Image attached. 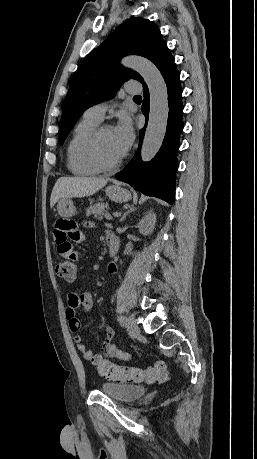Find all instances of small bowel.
<instances>
[{
  "label": "small bowel",
  "mask_w": 257,
  "mask_h": 459,
  "mask_svg": "<svg viewBox=\"0 0 257 459\" xmlns=\"http://www.w3.org/2000/svg\"><path fill=\"white\" fill-rule=\"evenodd\" d=\"M78 220L82 226L89 224V219L78 215ZM71 217H57L56 223L53 225L52 238L56 244L59 257L64 261H72L73 264H82L84 253L78 249V244H86L87 237L83 235V228L76 227L72 223ZM109 272L116 274L117 268L114 264L109 265ZM93 307V296L89 291H84L80 294L70 293L68 295L67 307L65 309V318L68 322L69 329L76 333L75 341L77 349L82 356L92 362L94 357L92 351L84 344V337L80 333L81 321L77 316L79 311H89ZM115 333L112 328L105 327V339L102 345V353L109 358H117L120 360H129L131 355L124 352L118 345L113 343Z\"/></svg>",
  "instance_id": "small-bowel-1"
}]
</instances>
